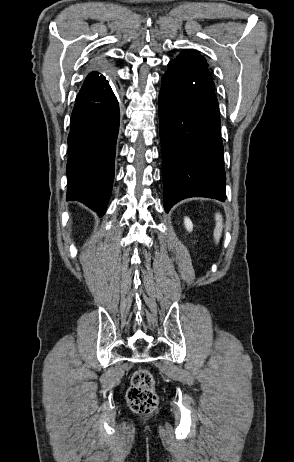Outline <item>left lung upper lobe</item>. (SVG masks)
Segmentation results:
<instances>
[{
	"mask_svg": "<svg viewBox=\"0 0 294 462\" xmlns=\"http://www.w3.org/2000/svg\"><path fill=\"white\" fill-rule=\"evenodd\" d=\"M177 58L207 67V63L204 57H202L195 51L185 50L179 56H177Z\"/></svg>",
	"mask_w": 294,
	"mask_h": 462,
	"instance_id": "obj_1",
	"label": "left lung upper lobe"
}]
</instances>
